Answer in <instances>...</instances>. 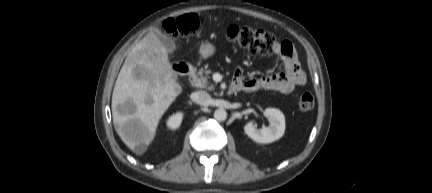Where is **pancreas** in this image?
<instances>
[{
	"mask_svg": "<svg viewBox=\"0 0 432 193\" xmlns=\"http://www.w3.org/2000/svg\"><path fill=\"white\" fill-rule=\"evenodd\" d=\"M211 73V70L205 68H201L198 70L197 74L193 76V85L197 88H205L207 90H213L214 85L208 79V75Z\"/></svg>",
	"mask_w": 432,
	"mask_h": 193,
	"instance_id": "obj_1",
	"label": "pancreas"
}]
</instances>
